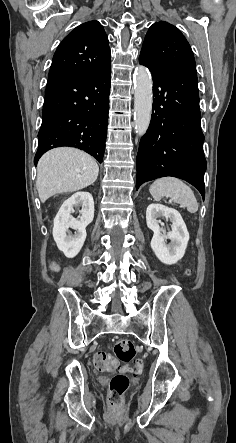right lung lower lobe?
Returning a JSON list of instances; mask_svg holds the SVG:
<instances>
[{
  "label": "right lung lower lobe",
  "mask_w": 236,
  "mask_h": 443,
  "mask_svg": "<svg viewBox=\"0 0 236 443\" xmlns=\"http://www.w3.org/2000/svg\"><path fill=\"white\" fill-rule=\"evenodd\" d=\"M110 78V67L96 74L49 76L35 165L46 151L61 146L76 147L103 161Z\"/></svg>",
  "instance_id": "right-lung-lower-lobe-1"
}]
</instances>
